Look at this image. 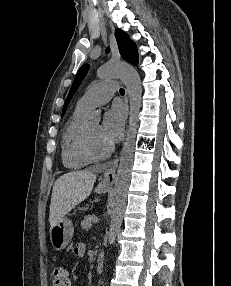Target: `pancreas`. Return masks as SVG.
Instances as JSON below:
<instances>
[{
  "instance_id": "pancreas-1",
  "label": "pancreas",
  "mask_w": 231,
  "mask_h": 286,
  "mask_svg": "<svg viewBox=\"0 0 231 286\" xmlns=\"http://www.w3.org/2000/svg\"><path fill=\"white\" fill-rule=\"evenodd\" d=\"M94 215H86L83 219V221L81 222V228L83 230H88L90 229V227L92 226V219H93Z\"/></svg>"
}]
</instances>
